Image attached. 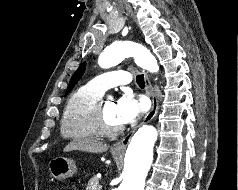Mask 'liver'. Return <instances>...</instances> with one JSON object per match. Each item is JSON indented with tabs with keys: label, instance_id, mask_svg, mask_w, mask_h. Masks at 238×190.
<instances>
[{
	"label": "liver",
	"instance_id": "obj_1",
	"mask_svg": "<svg viewBox=\"0 0 238 190\" xmlns=\"http://www.w3.org/2000/svg\"><path fill=\"white\" fill-rule=\"evenodd\" d=\"M73 150H79L88 153H103L108 150V145L90 139H73L68 145H66L64 152H70Z\"/></svg>",
	"mask_w": 238,
	"mask_h": 190
}]
</instances>
